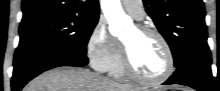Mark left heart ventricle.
Segmentation results:
<instances>
[{
    "mask_svg": "<svg viewBox=\"0 0 220 91\" xmlns=\"http://www.w3.org/2000/svg\"><path fill=\"white\" fill-rule=\"evenodd\" d=\"M122 42L127 46L132 64L139 74L153 78L165 71L166 54L155 36L141 34L133 27L125 34Z\"/></svg>",
    "mask_w": 220,
    "mask_h": 91,
    "instance_id": "1",
    "label": "left heart ventricle"
}]
</instances>
